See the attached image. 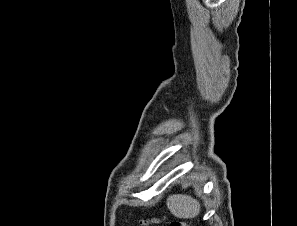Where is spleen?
Returning <instances> with one entry per match:
<instances>
[{
	"label": "spleen",
	"instance_id": "1",
	"mask_svg": "<svg viewBox=\"0 0 297 226\" xmlns=\"http://www.w3.org/2000/svg\"><path fill=\"white\" fill-rule=\"evenodd\" d=\"M166 204L170 212L178 218L190 219L200 213V203L189 195H170Z\"/></svg>",
	"mask_w": 297,
	"mask_h": 226
}]
</instances>
